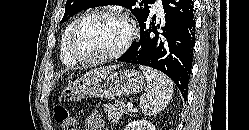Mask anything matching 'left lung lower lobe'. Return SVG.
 Segmentation results:
<instances>
[{
    "label": "left lung lower lobe",
    "instance_id": "obj_1",
    "mask_svg": "<svg viewBox=\"0 0 249 130\" xmlns=\"http://www.w3.org/2000/svg\"><path fill=\"white\" fill-rule=\"evenodd\" d=\"M164 25L149 16L140 24V40L119 61L155 68L168 75L187 99L195 43L191 0H163Z\"/></svg>",
    "mask_w": 249,
    "mask_h": 130
}]
</instances>
